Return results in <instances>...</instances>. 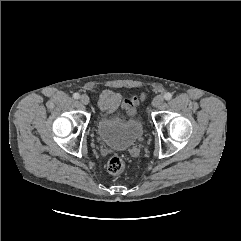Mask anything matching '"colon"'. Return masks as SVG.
Returning a JSON list of instances; mask_svg holds the SVG:
<instances>
[{"mask_svg": "<svg viewBox=\"0 0 241 241\" xmlns=\"http://www.w3.org/2000/svg\"><path fill=\"white\" fill-rule=\"evenodd\" d=\"M125 161L120 156H113L109 159L107 163V170L110 174L116 175L120 174L125 169Z\"/></svg>", "mask_w": 241, "mask_h": 241, "instance_id": "colon-1", "label": "colon"}]
</instances>
